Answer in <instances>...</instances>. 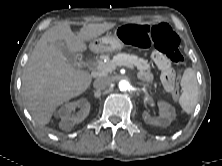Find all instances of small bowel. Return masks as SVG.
I'll return each instance as SVG.
<instances>
[{
	"label": "small bowel",
	"instance_id": "obj_1",
	"mask_svg": "<svg viewBox=\"0 0 222 166\" xmlns=\"http://www.w3.org/2000/svg\"><path fill=\"white\" fill-rule=\"evenodd\" d=\"M152 59H153V61L155 62V64H156L161 70H163V68H164V61H165L164 56H163L161 53H159V52H155V53H153V55H152ZM141 77H142L143 79H149V78H150V75H149L148 73H146V72H143V73H141Z\"/></svg>",
	"mask_w": 222,
	"mask_h": 166
}]
</instances>
